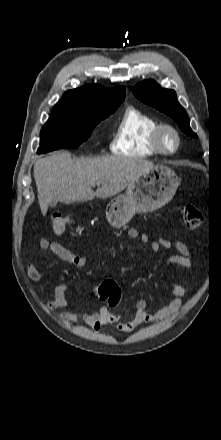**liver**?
Returning a JSON list of instances; mask_svg holds the SVG:
<instances>
[{
  "mask_svg": "<svg viewBox=\"0 0 221 440\" xmlns=\"http://www.w3.org/2000/svg\"><path fill=\"white\" fill-rule=\"evenodd\" d=\"M153 166L129 157L73 160L67 151L39 159L34 164V178L41 212L45 215L52 201L70 204L112 197ZM95 184L101 187L94 192L91 187Z\"/></svg>",
  "mask_w": 221,
  "mask_h": 440,
  "instance_id": "liver-1",
  "label": "liver"
}]
</instances>
